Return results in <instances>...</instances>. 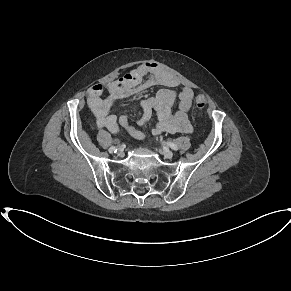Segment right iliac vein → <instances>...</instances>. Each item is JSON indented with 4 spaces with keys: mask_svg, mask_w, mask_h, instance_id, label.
Segmentation results:
<instances>
[{
    "mask_svg": "<svg viewBox=\"0 0 291 291\" xmlns=\"http://www.w3.org/2000/svg\"><path fill=\"white\" fill-rule=\"evenodd\" d=\"M121 152H122L121 149H119V150H118V154H120Z\"/></svg>",
    "mask_w": 291,
    "mask_h": 291,
    "instance_id": "63e3f726",
    "label": "right iliac vein"
}]
</instances>
